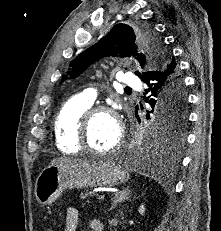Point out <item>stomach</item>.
Segmentation results:
<instances>
[{
	"instance_id": "0dacf381",
	"label": "stomach",
	"mask_w": 221,
	"mask_h": 231,
	"mask_svg": "<svg viewBox=\"0 0 221 231\" xmlns=\"http://www.w3.org/2000/svg\"><path fill=\"white\" fill-rule=\"evenodd\" d=\"M128 173L118 163L107 161H78L46 167L37 177L35 197L42 206L53 203L70 187H114L123 184Z\"/></svg>"
}]
</instances>
